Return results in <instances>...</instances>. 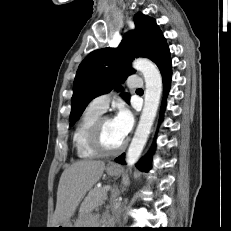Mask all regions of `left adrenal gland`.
<instances>
[{
    "instance_id": "left-adrenal-gland-1",
    "label": "left adrenal gland",
    "mask_w": 231,
    "mask_h": 231,
    "mask_svg": "<svg viewBox=\"0 0 231 231\" xmlns=\"http://www.w3.org/2000/svg\"><path fill=\"white\" fill-rule=\"evenodd\" d=\"M119 193H120V192L116 189V194H118V195H119Z\"/></svg>"
}]
</instances>
